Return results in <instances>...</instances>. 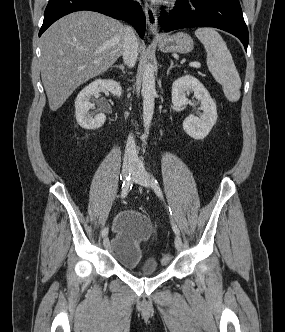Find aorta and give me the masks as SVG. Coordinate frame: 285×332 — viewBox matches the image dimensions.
Returning <instances> with one entry per match:
<instances>
[{
  "instance_id": "762f6f07",
  "label": "aorta",
  "mask_w": 285,
  "mask_h": 332,
  "mask_svg": "<svg viewBox=\"0 0 285 332\" xmlns=\"http://www.w3.org/2000/svg\"><path fill=\"white\" fill-rule=\"evenodd\" d=\"M141 93L143 97V121L147 133L153 117L156 95L154 67L151 63H147L144 67Z\"/></svg>"
}]
</instances>
